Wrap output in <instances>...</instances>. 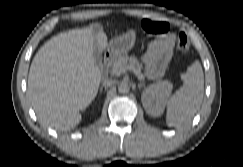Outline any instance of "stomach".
<instances>
[{
  "instance_id": "stomach-1",
  "label": "stomach",
  "mask_w": 243,
  "mask_h": 167,
  "mask_svg": "<svg viewBox=\"0 0 243 167\" xmlns=\"http://www.w3.org/2000/svg\"><path fill=\"white\" fill-rule=\"evenodd\" d=\"M136 33L134 30H128L121 36L112 39L107 47V51L111 57H117L126 54L135 44Z\"/></svg>"
}]
</instances>
